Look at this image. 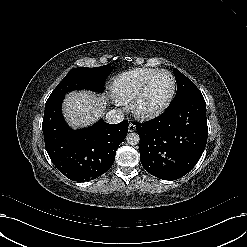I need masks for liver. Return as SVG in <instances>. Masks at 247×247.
Instances as JSON below:
<instances>
[{"label": "liver", "instance_id": "1", "mask_svg": "<svg viewBox=\"0 0 247 247\" xmlns=\"http://www.w3.org/2000/svg\"><path fill=\"white\" fill-rule=\"evenodd\" d=\"M107 100L105 95H95L92 92H71L63 102L64 117L72 127L91 125L103 116Z\"/></svg>", "mask_w": 247, "mask_h": 247}]
</instances>
